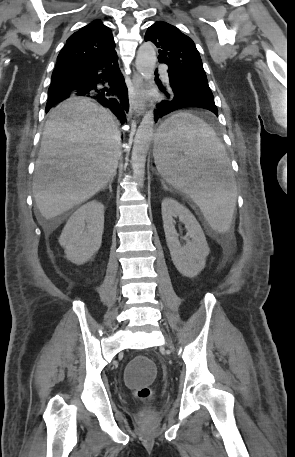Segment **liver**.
Returning <instances> with one entry per match:
<instances>
[{"instance_id":"liver-1","label":"liver","mask_w":295,"mask_h":457,"mask_svg":"<svg viewBox=\"0 0 295 457\" xmlns=\"http://www.w3.org/2000/svg\"><path fill=\"white\" fill-rule=\"evenodd\" d=\"M120 132L112 114L86 98L57 105L45 123L33 178V197L53 220L107 186L116 175Z\"/></svg>"}]
</instances>
